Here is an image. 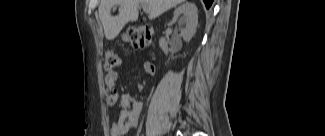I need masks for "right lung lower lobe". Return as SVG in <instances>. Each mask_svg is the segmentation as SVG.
<instances>
[{"instance_id": "1", "label": "right lung lower lobe", "mask_w": 325, "mask_h": 136, "mask_svg": "<svg viewBox=\"0 0 325 136\" xmlns=\"http://www.w3.org/2000/svg\"><path fill=\"white\" fill-rule=\"evenodd\" d=\"M203 1H204L205 5H206V8H207V9L210 8V6H211L212 3H213V0H203Z\"/></svg>"}]
</instances>
